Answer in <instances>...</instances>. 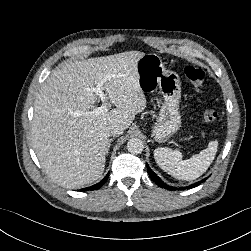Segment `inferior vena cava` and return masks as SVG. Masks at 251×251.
Here are the masks:
<instances>
[{"label":"inferior vena cava","instance_id":"inferior-vena-cava-1","mask_svg":"<svg viewBox=\"0 0 251 251\" xmlns=\"http://www.w3.org/2000/svg\"><path fill=\"white\" fill-rule=\"evenodd\" d=\"M124 129L120 126H111L108 128V134L110 136H119L123 133Z\"/></svg>","mask_w":251,"mask_h":251}]
</instances>
